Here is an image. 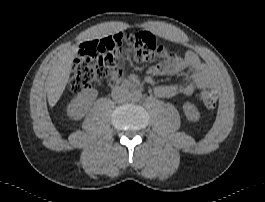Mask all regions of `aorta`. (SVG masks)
<instances>
[{"label": "aorta", "mask_w": 265, "mask_h": 202, "mask_svg": "<svg viewBox=\"0 0 265 202\" xmlns=\"http://www.w3.org/2000/svg\"><path fill=\"white\" fill-rule=\"evenodd\" d=\"M142 97V94L139 90H133L130 92V100L131 101H139Z\"/></svg>", "instance_id": "762f6f07"}]
</instances>
